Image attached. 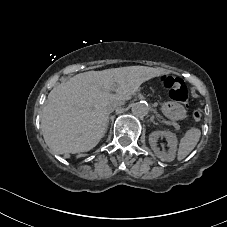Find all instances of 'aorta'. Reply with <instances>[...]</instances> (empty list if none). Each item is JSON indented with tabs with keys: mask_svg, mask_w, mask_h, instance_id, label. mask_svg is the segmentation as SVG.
<instances>
[{
	"mask_svg": "<svg viewBox=\"0 0 227 227\" xmlns=\"http://www.w3.org/2000/svg\"><path fill=\"white\" fill-rule=\"evenodd\" d=\"M131 111L137 117H144L149 112V106L144 101L136 102L132 105Z\"/></svg>",
	"mask_w": 227,
	"mask_h": 227,
	"instance_id": "1",
	"label": "aorta"
}]
</instances>
